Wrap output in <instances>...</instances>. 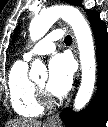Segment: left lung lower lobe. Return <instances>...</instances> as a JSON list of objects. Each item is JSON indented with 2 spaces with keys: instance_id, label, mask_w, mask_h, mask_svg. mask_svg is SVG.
Listing matches in <instances>:
<instances>
[{
  "instance_id": "left-lung-lower-lobe-1",
  "label": "left lung lower lobe",
  "mask_w": 108,
  "mask_h": 127,
  "mask_svg": "<svg viewBox=\"0 0 108 127\" xmlns=\"http://www.w3.org/2000/svg\"><path fill=\"white\" fill-rule=\"evenodd\" d=\"M94 32L98 61L97 92L91 103L80 113L65 109L61 119L69 127H105L108 119V33L97 12H87Z\"/></svg>"
}]
</instances>
